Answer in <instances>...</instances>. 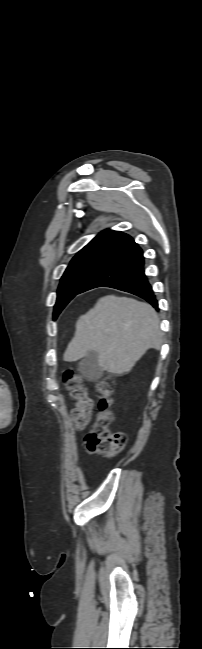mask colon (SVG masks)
<instances>
[{"label":"colon","mask_w":202,"mask_h":649,"mask_svg":"<svg viewBox=\"0 0 202 649\" xmlns=\"http://www.w3.org/2000/svg\"><path fill=\"white\" fill-rule=\"evenodd\" d=\"M64 382L75 401L71 409L72 420L75 426L82 430L90 420L93 400L88 395L83 377L77 371L67 370L64 374ZM96 388L100 395L99 413L85 437V444L89 451L111 457L120 453L127 442L124 433L110 430L113 414L109 407L114 392V380L110 376H104L98 380Z\"/></svg>","instance_id":"1"}]
</instances>
